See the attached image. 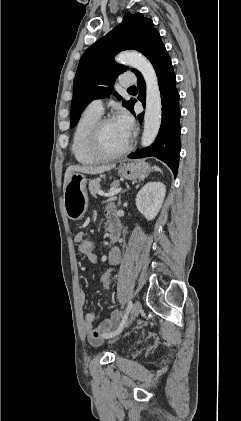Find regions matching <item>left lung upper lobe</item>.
<instances>
[{
  "mask_svg": "<svg viewBox=\"0 0 241 421\" xmlns=\"http://www.w3.org/2000/svg\"><path fill=\"white\" fill-rule=\"evenodd\" d=\"M158 33L151 19L140 13H127L122 23L84 52L73 82L71 127L77 124L80 114L92 100L109 98L114 91L116 76L129 69L114 62L115 54L122 50L134 49L145 55ZM131 71L137 72L136 69ZM113 95L119 100L122 99L116 92ZM134 101L124 100L123 104L131 111Z\"/></svg>",
  "mask_w": 241,
  "mask_h": 421,
  "instance_id": "obj_1",
  "label": "left lung upper lobe"
}]
</instances>
